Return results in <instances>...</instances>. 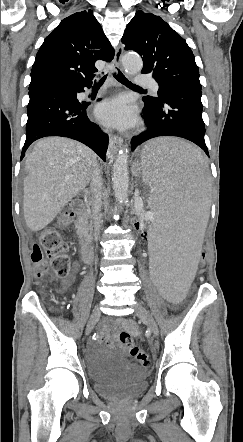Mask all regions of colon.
Masks as SVG:
<instances>
[{"mask_svg": "<svg viewBox=\"0 0 243 442\" xmlns=\"http://www.w3.org/2000/svg\"><path fill=\"white\" fill-rule=\"evenodd\" d=\"M77 208L78 206L76 203L65 206L59 214V224L61 226L70 225L74 215L77 213ZM137 221H129L125 224V227L129 230H135L136 233H140V243L146 244L149 241L147 228H144L146 227V224H141L144 221L141 217L138 218ZM43 251L50 260V263H48L44 257ZM208 260V255H201L197 264V269L203 270ZM31 261L34 266V275L37 278L46 277L49 266L58 277H66L69 274L71 262L68 256V245L56 229L48 228L42 232L39 244L33 246ZM119 341L128 349L130 356L141 366L149 367L151 365V360L147 352L134 344L133 338L128 332H121L119 335Z\"/></svg>", "mask_w": 243, "mask_h": 442, "instance_id": "colon-1", "label": "colon"}]
</instances>
